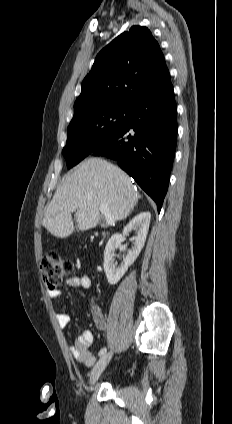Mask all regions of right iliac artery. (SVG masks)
<instances>
[{
  "mask_svg": "<svg viewBox=\"0 0 232 424\" xmlns=\"http://www.w3.org/2000/svg\"><path fill=\"white\" fill-rule=\"evenodd\" d=\"M106 351H107L106 347L102 348L99 352V356L104 355L106 353Z\"/></svg>",
  "mask_w": 232,
  "mask_h": 424,
  "instance_id": "82829eb1",
  "label": "right iliac artery"
}]
</instances>
